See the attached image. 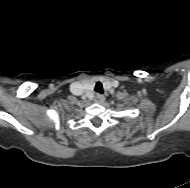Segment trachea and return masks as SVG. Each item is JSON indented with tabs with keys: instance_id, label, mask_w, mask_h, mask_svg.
<instances>
[{
	"instance_id": "1",
	"label": "trachea",
	"mask_w": 190,
	"mask_h": 188,
	"mask_svg": "<svg viewBox=\"0 0 190 188\" xmlns=\"http://www.w3.org/2000/svg\"><path fill=\"white\" fill-rule=\"evenodd\" d=\"M97 93H103V86L101 82H97L94 89Z\"/></svg>"
}]
</instances>
